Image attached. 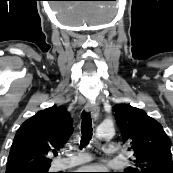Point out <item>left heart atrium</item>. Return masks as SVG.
Returning <instances> with one entry per match:
<instances>
[{
	"instance_id": "1",
	"label": "left heart atrium",
	"mask_w": 173,
	"mask_h": 173,
	"mask_svg": "<svg viewBox=\"0 0 173 173\" xmlns=\"http://www.w3.org/2000/svg\"><path fill=\"white\" fill-rule=\"evenodd\" d=\"M106 170L107 169L101 165H91V166L84 167L82 169V172H84V173H105Z\"/></svg>"
}]
</instances>
